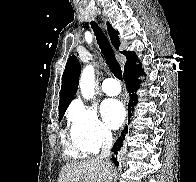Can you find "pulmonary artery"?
I'll list each match as a JSON object with an SVG mask.
<instances>
[{
  "label": "pulmonary artery",
  "instance_id": "obj_1",
  "mask_svg": "<svg viewBox=\"0 0 196 182\" xmlns=\"http://www.w3.org/2000/svg\"><path fill=\"white\" fill-rule=\"evenodd\" d=\"M102 90L109 96L118 95L121 91L119 82L114 77H107L102 84Z\"/></svg>",
  "mask_w": 196,
  "mask_h": 182
}]
</instances>
